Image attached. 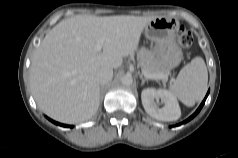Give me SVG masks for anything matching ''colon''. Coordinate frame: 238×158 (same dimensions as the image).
Here are the masks:
<instances>
[{
  "instance_id": "obj_1",
  "label": "colon",
  "mask_w": 238,
  "mask_h": 158,
  "mask_svg": "<svg viewBox=\"0 0 238 158\" xmlns=\"http://www.w3.org/2000/svg\"><path fill=\"white\" fill-rule=\"evenodd\" d=\"M178 41L183 48H189L192 45L193 38L188 31L180 29L178 33Z\"/></svg>"
}]
</instances>
